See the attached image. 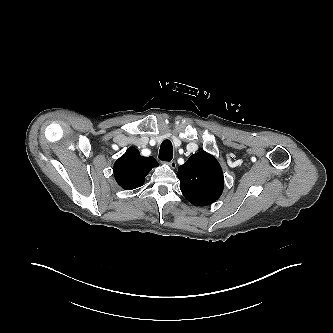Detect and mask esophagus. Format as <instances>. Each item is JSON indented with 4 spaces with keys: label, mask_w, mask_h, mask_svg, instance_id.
Segmentation results:
<instances>
[{
    "label": "esophagus",
    "mask_w": 333,
    "mask_h": 333,
    "mask_svg": "<svg viewBox=\"0 0 333 333\" xmlns=\"http://www.w3.org/2000/svg\"><path fill=\"white\" fill-rule=\"evenodd\" d=\"M168 165H169L172 169H175L176 166H177V164H176V162H175L174 160L168 162Z\"/></svg>",
    "instance_id": "1"
}]
</instances>
